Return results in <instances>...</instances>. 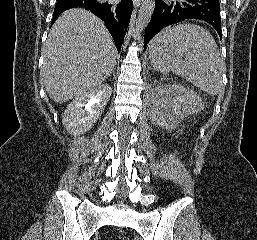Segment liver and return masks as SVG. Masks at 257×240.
<instances>
[{"label":"liver","instance_id":"obj_1","mask_svg":"<svg viewBox=\"0 0 257 240\" xmlns=\"http://www.w3.org/2000/svg\"><path fill=\"white\" fill-rule=\"evenodd\" d=\"M117 50L103 22L74 8L52 26L44 47L42 80L50 98L63 103L100 86L116 64Z\"/></svg>","mask_w":257,"mask_h":240}]
</instances>
